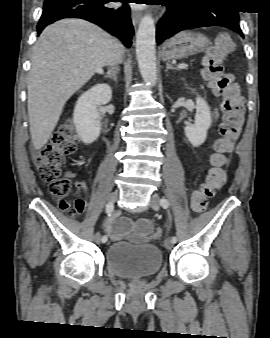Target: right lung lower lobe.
Listing matches in <instances>:
<instances>
[{"instance_id":"obj_1","label":"right lung lower lobe","mask_w":270,"mask_h":338,"mask_svg":"<svg viewBox=\"0 0 270 338\" xmlns=\"http://www.w3.org/2000/svg\"><path fill=\"white\" fill-rule=\"evenodd\" d=\"M108 2H122L120 8H109ZM128 0H45L37 25L39 35L45 26L63 18H82L118 37L126 47L131 46L134 32Z\"/></svg>"}]
</instances>
